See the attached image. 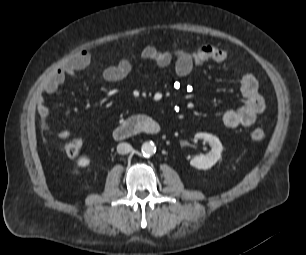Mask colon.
I'll return each mask as SVG.
<instances>
[{
	"label": "colon",
	"mask_w": 306,
	"mask_h": 255,
	"mask_svg": "<svg viewBox=\"0 0 306 255\" xmlns=\"http://www.w3.org/2000/svg\"><path fill=\"white\" fill-rule=\"evenodd\" d=\"M250 137L254 141H261L265 137V131L262 127H255L250 133ZM82 149V141L74 139L64 145V151L69 157L77 156Z\"/></svg>",
	"instance_id": "1"
}]
</instances>
